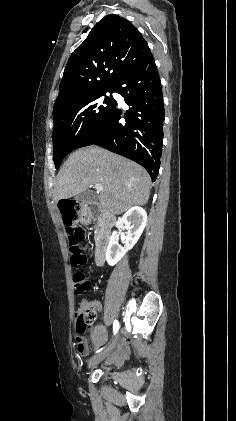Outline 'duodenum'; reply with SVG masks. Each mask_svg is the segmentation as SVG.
<instances>
[{"label":"duodenum","mask_w":236,"mask_h":421,"mask_svg":"<svg viewBox=\"0 0 236 421\" xmlns=\"http://www.w3.org/2000/svg\"><path fill=\"white\" fill-rule=\"evenodd\" d=\"M79 212L80 219L84 224L92 221H99L100 232L95 246L94 260L97 265H103L109 248L112 228L115 224V217L112 213L103 210L95 201H82L75 205ZM104 331L100 329L97 333L96 342L103 339ZM124 349L122 348L118 355V360L122 358Z\"/></svg>","instance_id":"1"}]
</instances>
